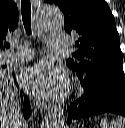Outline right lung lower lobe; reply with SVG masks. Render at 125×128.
<instances>
[{"instance_id": "98d812e1", "label": "right lung lower lobe", "mask_w": 125, "mask_h": 128, "mask_svg": "<svg viewBox=\"0 0 125 128\" xmlns=\"http://www.w3.org/2000/svg\"><path fill=\"white\" fill-rule=\"evenodd\" d=\"M24 100H25V104H24V112H23V115H24L25 118H29V116L31 114V107H30V104H29V99H28L27 96H24Z\"/></svg>"}]
</instances>
